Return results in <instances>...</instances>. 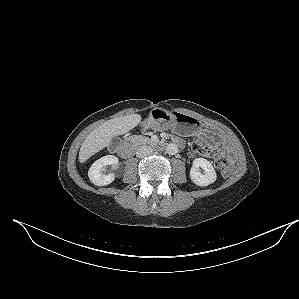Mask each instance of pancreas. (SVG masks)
<instances>
[{
  "label": "pancreas",
  "mask_w": 299,
  "mask_h": 299,
  "mask_svg": "<svg viewBox=\"0 0 299 299\" xmlns=\"http://www.w3.org/2000/svg\"><path fill=\"white\" fill-rule=\"evenodd\" d=\"M130 139L136 145L148 143V141H149V138L141 136V135L132 136Z\"/></svg>",
  "instance_id": "obj_1"
}]
</instances>
